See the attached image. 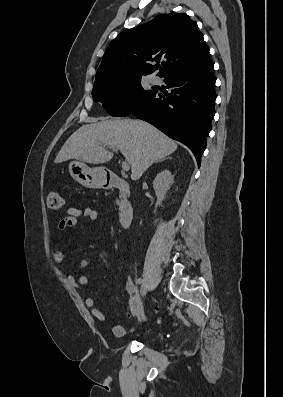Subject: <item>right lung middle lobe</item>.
<instances>
[{"instance_id": "dd1d6c3e", "label": "right lung middle lobe", "mask_w": 283, "mask_h": 397, "mask_svg": "<svg viewBox=\"0 0 283 397\" xmlns=\"http://www.w3.org/2000/svg\"><path fill=\"white\" fill-rule=\"evenodd\" d=\"M156 93L144 90L141 77L111 81H96L92 96L95 102H101L106 111L115 117L129 115L141 104L149 101Z\"/></svg>"}]
</instances>
